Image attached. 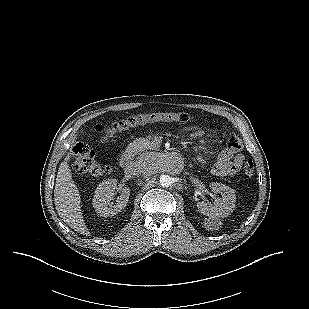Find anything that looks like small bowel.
<instances>
[{
    "label": "small bowel",
    "instance_id": "obj_1",
    "mask_svg": "<svg viewBox=\"0 0 309 309\" xmlns=\"http://www.w3.org/2000/svg\"><path fill=\"white\" fill-rule=\"evenodd\" d=\"M203 134L202 130L195 128L191 133V137L198 139ZM238 143L241 145L240 140ZM235 146L236 143L230 144L228 142V147L219 154L217 161L211 169L213 175L220 177L233 176L241 171L245 162V155L241 152V147L236 148Z\"/></svg>",
    "mask_w": 309,
    "mask_h": 309
}]
</instances>
